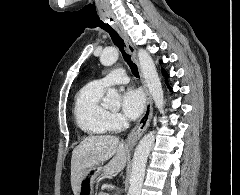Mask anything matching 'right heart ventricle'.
<instances>
[{
    "label": "right heart ventricle",
    "instance_id": "obj_1",
    "mask_svg": "<svg viewBox=\"0 0 240 195\" xmlns=\"http://www.w3.org/2000/svg\"><path fill=\"white\" fill-rule=\"evenodd\" d=\"M105 91L106 86L103 83L93 81L81 90L76 99V123L89 136H103L111 130V114L104 104Z\"/></svg>",
    "mask_w": 240,
    "mask_h": 195
}]
</instances>
